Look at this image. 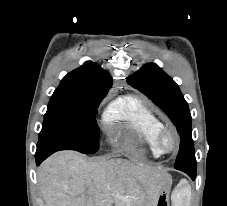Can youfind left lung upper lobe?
Listing matches in <instances>:
<instances>
[{
  "mask_svg": "<svg viewBox=\"0 0 227 206\" xmlns=\"http://www.w3.org/2000/svg\"><path fill=\"white\" fill-rule=\"evenodd\" d=\"M127 82L160 107L176 126L181 142L174 167L196 168L191 114L178 85L154 63L144 65Z\"/></svg>",
  "mask_w": 227,
  "mask_h": 206,
  "instance_id": "1",
  "label": "left lung upper lobe"
}]
</instances>
